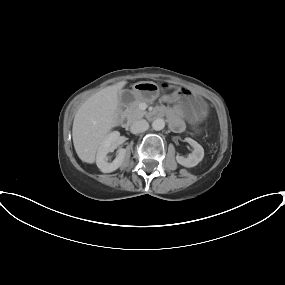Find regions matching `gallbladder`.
I'll list each match as a JSON object with an SVG mask.
<instances>
[{
    "instance_id": "obj_1",
    "label": "gallbladder",
    "mask_w": 285,
    "mask_h": 285,
    "mask_svg": "<svg viewBox=\"0 0 285 285\" xmlns=\"http://www.w3.org/2000/svg\"><path fill=\"white\" fill-rule=\"evenodd\" d=\"M126 96V93H122V99Z\"/></svg>"
}]
</instances>
